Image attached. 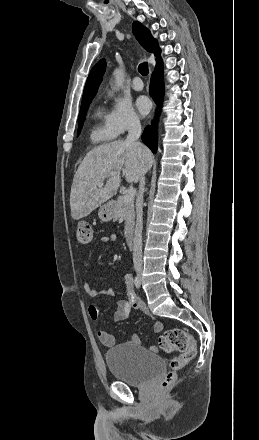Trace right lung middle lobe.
Listing matches in <instances>:
<instances>
[{"label": "right lung middle lobe", "instance_id": "obj_1", "mask_svg": "<svg viewBox=\"0 0 259 440\" xmlns=\"http://www.w3.org/2000/svg\"><path fill=\"white\" fill-rule=\"evenodd\" d=\"M92 99L93 98L83 100L81 103V109H80V113H79V117H78V124H79L78 133L80 132V130L83 126V122L85 120V115H86L87 109H88L89 104L91 103Z\"/></svg>", "mask_w": 259, "mask_h": 440}]
</instances>
